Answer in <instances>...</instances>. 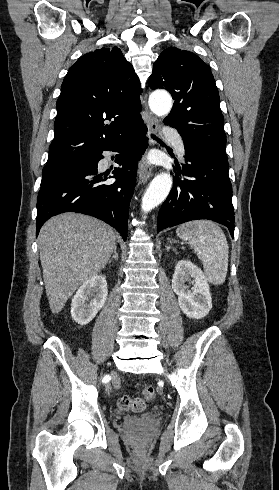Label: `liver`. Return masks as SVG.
Instances as JSON below:
<instances>
[{"instance_id": "1", "label": "liver", "mask_w": 279, "mask_h": 490, "mask_svg": "<svg viewBox=\"0 0 279 490\" xmlns=\"http://www.w3.org/2000/svg\"><path fill=\"white\" fill-rule=\"evenodd\" d=\"M38 244L49 308L59 314L75 290L105 268L116 232L96 218L66 212L42 226Z\"/></svg>"}]
</instances>
